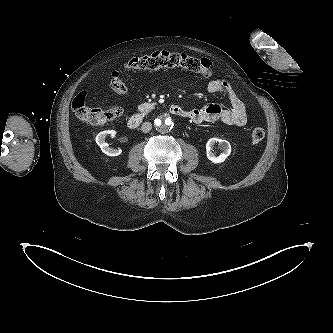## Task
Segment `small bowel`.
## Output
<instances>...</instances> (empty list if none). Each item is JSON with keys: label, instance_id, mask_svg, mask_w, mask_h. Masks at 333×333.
<instances>
[{"label": "small bowel", "instance_id": "c3829d8e", "mask_svg": "<svg viewBox=\"0 0 333 333\" xmlns=\"http://www.w3.org/2000/svg\"><path fill=\"white\" fill-rule=\"evenodd\" d=\"M207 90L211 93L223 94L230 108L225 109L219 104L211 103L199 109L185 110L186 118L197 124L222 122L226 125L242 127L247 123L245 106L227 80L213 79L208 83Z\"/></svg>", "mask_w": 333, "mask_h": 333}]
</instances>
